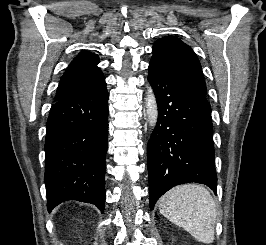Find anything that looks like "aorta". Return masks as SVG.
<instances>
[{"label": "aorta", "instance_id": "762f6f07", "mask_svg": "<svg viewBox=\"0 0 266 245\" xmlns=\"http://www.w3.org/2000/svg\"><path fill=\"white\" fill-rule=\"evenodd\" d=\"M145 110L149 127H151V129H154L158 120V104L152 86H147Z\"/></svg>", "mask_w": 266, "mask_h": 245}]
</instances>
